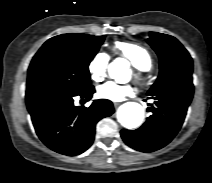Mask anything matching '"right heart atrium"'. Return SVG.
Returning <instances> with one entry per match:
<instances>
[{
    "mask_svg": "<svg viewBox=\"0 0 212 183\" xmlns=\"http://www.w3.org/2000/svg\"><path fill=\"white\" fill-rule=\"evenodd\" d=\"M109 57L106 53L98 52L88 64V73L95 82H100L106 76Z\"/></svg>",
    "mask_w": 212,
    "mask_h": 183,
    "instance_id": "right-heart-atrium-1",
    "label": "right heart atrium"
}]
</instances>
